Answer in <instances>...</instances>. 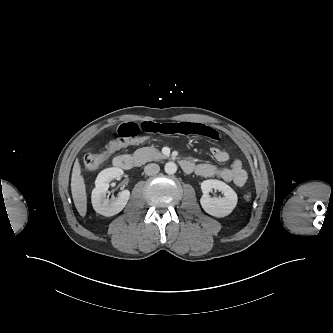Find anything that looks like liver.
Returning <instances> with one entry per match:
<instances>
[{
  "label": "liver",
  "mask_w": 333,
  "mask_h": 333,
  "mask_svg": "<svg viewBox=\"0 0 333 333\" xmlns=\"http://www.w3.org/2000/svg\"><path fill=\"white\" fill-rule=\"evenodd\" d=\"M71 191L75 207L79 214L84 217L87 212V195L85 182L83 176L81 175V167L78 159H76L73 166Z\"/></svg>",
  "instance_id": "obj_1"
}]
</instances>
